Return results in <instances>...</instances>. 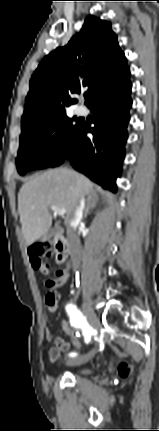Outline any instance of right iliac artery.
Wrapping results in <instances>:
<instances>
[{
	"mask_svg": "<svg viewBox=\"0 0 159 431\" xmlns=\"http://www.w3.org/2000/svg\"><path fill=\"white\" fill-rule=\"evenodd\" d=\"M66 311L70 317L71 325L82 330L85 342L88 343L91 340L94 330L87 323L86 318L74 304H68L66 306ZM70 356L74 357L76 356V353H71Z\"/></svg>",
	"mask_w": 159,
	"mask_h": 431,
	"instance_id": "1",
	"label": "right iliac artery"
}]
</instances>
